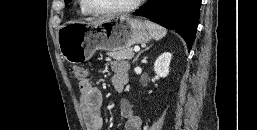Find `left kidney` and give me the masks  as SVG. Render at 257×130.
Here are the masks:
<instances>
[{
    "label": "left kidney",
    "mask_w": 257,
    "mask_h": 130,
    "mask_svg": "<svg viewBox=\"0 0 257 130\" xmlns=\"http://www.w3.org/2000/svg\"><path fill=\"white\" fill-rule=\"evenodd\" d=\"M172 59L170 52L161 54L154 63V71L158 77L165 78L169 74V66ZM152 91H150L151 93Z\"/></svg>",
    "instance_id": "1"
}]
</instances>
